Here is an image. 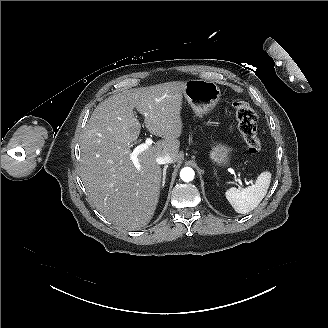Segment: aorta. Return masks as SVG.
Here are the masks:
<instances>
[{
    "instance_id": "1",
    "label": "aorta",
    "mask_w": 328,
    "mask_h": 328,
    "mask_svg": "<svg viewBox=\"0 0 328 328\" xmlns=\"http://www.w3.org/2000/svg\"><path fill=\"white\" fill-rule=\"evenodd\" d=\"M194 176H195V172L190 167H184L180 171V178L184 182H190V181H192L194 179Z\"/></svg>"
}]
</instances>
